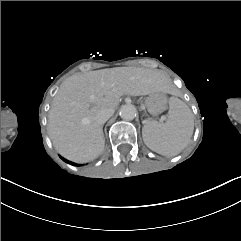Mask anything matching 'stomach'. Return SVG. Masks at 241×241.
Here are the masks:
<instances>
[{"mask_svg":"<svg viewBox=\"0 0 241 241\" xmlns=\"http://www.w3.org/2000/svg\"><path fill=\"white\" fill-rule=\"evenodd\" d=\"M145 105L151 115H158L166 109V96L165 94L159 92L152 93L146 98Z\"/></svg>","mask_w":241,"mask_h":241,"instance_id":"1","label":"stomach"}]
</instances>
